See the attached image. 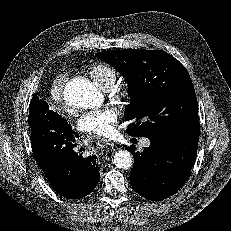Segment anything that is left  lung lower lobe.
Masks as SVG:
<instances>
[{"label": "left lung lower lobe", "mask_w": 231, "mask_h": 231, "mask_svg": "<svg viewBox=\"0 0 231 231\" xmlns=\"http://www.w3.org/2000/svg\"><path fill=\"white\" fill-rule=\"evenodd\" d=\"M142 153L125 147L134 157L130 175L133 189L146 199L160 201L174 195L185 183L195 163L199 134L176 139L149 138Z\"/></svg>", "instance_id": "obj_1"}]
</instances>
